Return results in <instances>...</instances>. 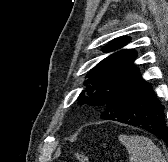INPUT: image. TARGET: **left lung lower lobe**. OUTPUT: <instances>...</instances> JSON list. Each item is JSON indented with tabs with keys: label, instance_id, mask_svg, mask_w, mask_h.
<instances>
[{
	"label": "left lung lower lobe",
	"instance_id": "left-lung-lower-lobe-1",
	"mask_svg": "<svg viewBox=\"0 0 168 162\" xmlns=\"http://www.w3.org/2000/svg\"><path fill=\"white\" fill-rule=\"evenodd\" d=\"M101 118L142 128L168 146L164 106L139 71L109 96Z\"/></svg>",
	"mask_w": 168,
	"mask_h": 162
}]
</instances>
